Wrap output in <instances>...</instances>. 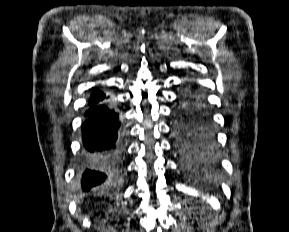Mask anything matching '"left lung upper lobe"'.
<instances>
[{
	"label": "left lung upper lobe",
	"mask_w": 289,
	"mask_h": 232,
	"mask_svg": "<svg viewBox=\"0 0 289 232\" xmlns=\"http://www.w3.org/2000/svg\"><path fill=\"white\" fill-rule=\"evenodd\" d=\"M175 129L180 149L198 154L208 153L214 149L215 139L203 135L187 113L184 112L179 117Z\"/></svg>",
	"instance_id": "1"
}]
</instances>
